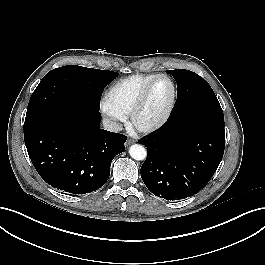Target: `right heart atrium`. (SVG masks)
Returning <instances> with one entry per match:
<instances>
[{"mask_svg":"<svg viewBox=\"0 0 265 265\" xmlns=\"http://www.w3.org/2000/svg\"><path fill=\"white\" fill-rule=\"evenodd\" d=\"M103 113L112 120L114 127H117L119 121H123L124 117L115 111L111 110L105 103L102 105Z\"/></svg>","mask_w":265,"mask_h":265,"instance_id":"obj_1","label":"right heart atrium"}]
</instances>
